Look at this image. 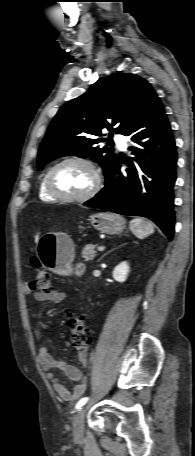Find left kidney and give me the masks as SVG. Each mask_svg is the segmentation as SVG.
<instances>
[{"mask_svg": "<svg viewBox=\"0 0 195 456\" xmlns=\"http://www.w3.org/2000/svg\"><path fill=\"white\" fill-rule=\"evenodd\" d=\"M129 273V265L127 262H121L119 265H117L114 270H113V278L122 283L127 279Z\"/></svg>", "mask_w": 195, "mask_h": 456, "instance_id": "1", "label": "left kidney"}]
</instances>
